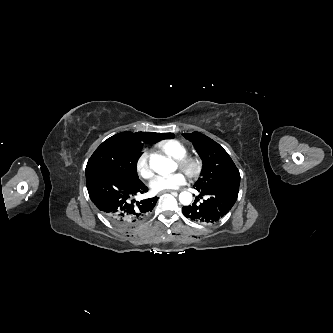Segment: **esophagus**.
<instances>
[{"label":"esophagus","instance_id":"34e87169","mask_svg":"<svg viewBox=\"0 0 333 333\" xmlns=\"http://www.w3.org/2000/svg\"><path fill=\"white\" fill-rule=\"evenodd\" d=\"M166 192H172V190L163 191V192H161L160 194H162V193H166Z\"/></svg>","mask_w":333,"mask_h":333}]
</instances>
